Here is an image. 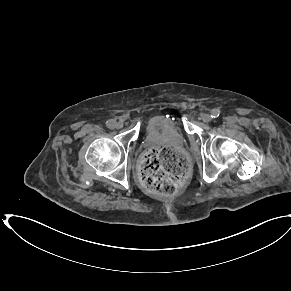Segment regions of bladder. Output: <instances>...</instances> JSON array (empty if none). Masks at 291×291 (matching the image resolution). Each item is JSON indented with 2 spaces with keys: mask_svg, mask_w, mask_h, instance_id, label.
<instances>
[{
  "mask_svg": "<svg viewBox=\"0 0 291 291\" xmlns=\"http://www.w3.org/2000/svg\"><path fill=\"white\" fill-rule=\"evenodd\" d=\"M169 132L181 139L183 135L181 123L171 117L154 116L147 121L144 135L145 137H156Z\"/></svg>",
  "mask_w": 291,
  "mask_h": 291,
  "instance_id": "bladder-1",
  "label": "bladder"
}]
</instances>
